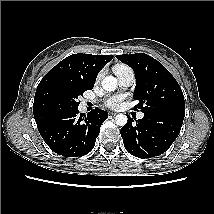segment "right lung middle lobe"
<instances>
[{"mask_svg": "<svg viewBox=\"0 0 214 214\" xmlns=\"http://www.w3.org/2000/svg\"><path fill=\"white\" fill-rule=\"evenodd\" d=\"M92 87L81 83L71 82L62 79L48 81L40 90L38 95L39 107L43 111L51 112L58 109L77 108L78 97L84 91Z\"/></svg>", "mask_w": 214, "mask_h": 214, "instance_id": "1", "label": "right lung middle lobe"}]
</instances>
